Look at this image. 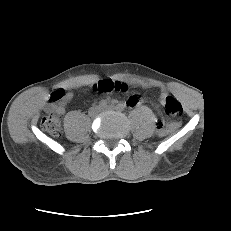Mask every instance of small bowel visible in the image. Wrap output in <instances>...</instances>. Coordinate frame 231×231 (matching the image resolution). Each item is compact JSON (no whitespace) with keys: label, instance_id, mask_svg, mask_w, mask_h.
Segmentation results:
<instances>
[{"label":"small bowel","instance_id":"c3829d8e","mask_svg":"<svg viewBox=\"0 0 231 231\" xmlns=\"http://www.w3.org/2000/svg\"><path fill=\"white\" fill-rule=\"evenodd\" d=\"M121 83H123L127 89H128V83L125 81H120ZM55 92H60L61 93V97L56 100V101H51V105H56L55 106V110L58 114L62 115L65 112V102L69 101L72 99L73 97V93L71 91H64V90H57ZM163 97H165L167 95L166 91H163L162 93ZM139 102V99L136 95H130L127 97V104L129 106H136Z\"/></svg>","mask_w":231,"mask_h":231}]
</instances>
